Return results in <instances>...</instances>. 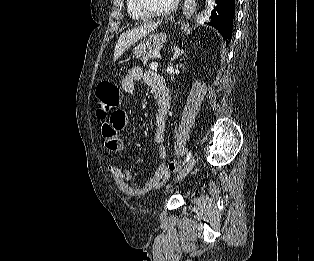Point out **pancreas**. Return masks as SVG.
Segmentation results:
<instances>
[{
    "mask_svg": "<svg viewBox=\"0 0 314 261\" xmlns=\"http://www.w3.org/2000/svg\"><path fill=\"white\" fill-rule=\"evenodd\" d=\"M160 55V49H154L150 51L149 53L143 55L141 57V61L144 65H147L148 60L150 59H156Z\"/></svg>",
    "mask_w": 314,
    "mask_h": 261,
    "instance_id": "obj_1",
    "label": "pancreas"
}]
</instances>
